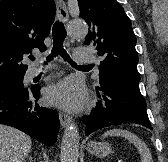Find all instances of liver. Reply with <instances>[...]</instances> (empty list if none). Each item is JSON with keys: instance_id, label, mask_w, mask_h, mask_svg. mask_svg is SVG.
I'll use <instances>...</instances> for the list:
<instances>
[{"instance_id": "1", "label": "liver", "mask_w": 168, "mask_h": 162, "mask_svg": "<svg viewBox=\"0 0 168 162\" xmlns=\"http://www.w3.org/2000/svg\"><path fill=\"white\" fill-rule=\"evenodd\" d=\"M31 146V138L28 135L0 124V162H23Z\"/></svg>"}]
</instances>
